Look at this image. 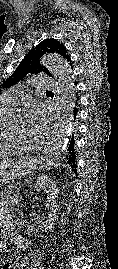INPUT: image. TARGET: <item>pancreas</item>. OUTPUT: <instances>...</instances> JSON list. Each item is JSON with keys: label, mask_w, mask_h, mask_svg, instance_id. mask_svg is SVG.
<instances>
[{"label": "pancreas", "mask_w": 118, "mask_h": 269, "mask_svg": "<svg viewBox=\"0 0 118 269\" xmlns=\"http://www.w3.org/2000/svg\"><path fill=\"white\" fill-rule=\"evenodd\" d=\"M30 178L26 179H18V182H10L9 186L6 188L7 192H19V190H23V185L21 184H28Z\"/></svg>", "instance_id": "1"}]
</instances>
